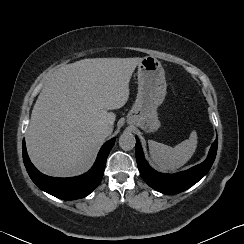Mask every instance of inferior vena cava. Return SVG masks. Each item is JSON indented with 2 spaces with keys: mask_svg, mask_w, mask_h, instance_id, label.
Returning <instances> with one entry per match:
<instances>
[{
  "mask_svg": "<svg viewBox=\"0 0 244 244\" xmlns=\"http://www.w3.org/2000/svg\"><path fill=\"white\" fill-rule=\"evenodd\" d=\"M112 131H113V126L109 124H103L100 126V133L106 137L111 135Z\"/></svg>",
  "mask_w": 244,
  "mask_h": 244,
  "instance_id": "inferior-vena-cava-1",
  "label": "inferior vena cava"
}]
</instances>
